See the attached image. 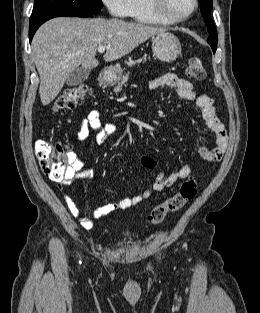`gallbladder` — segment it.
Returning a JSON list of instances; mask_svg holds the SVG:
<instances>
[{
    "label": "gallbladder",
    "instance_id": "1",
    "mask_svg": "<svg viewBox=\"0 0 260 313\" xmlns=\"http://www.w3.org/2000/svg\"><path fill=\"white\" fill-rule=\"evenodd\" d=\"M90 70L84 68H77L68 75L65 83L68 86H77L88 79Z\"/></svg>",
    "mask_w": 260,
    "mask_h": 313
}]
</instances>
